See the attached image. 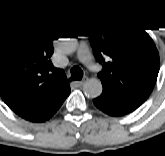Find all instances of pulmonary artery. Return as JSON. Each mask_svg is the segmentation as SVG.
<instances>
[{"instance_id": "obj_1", "label": "pulmonary artery", "mask_w": 165, "mask_h": 156, "mask_svg": "<svg viewBox=\"0 0 165 156\" xmlns=\"http://www.w3.org/2000/svg\"><path fill=\"white\" fill-rule=\"evenodd\" d=\"M78 59L85 65H87L91 69H97L96 65L91 61L90 56L88 55L86 50H81L78 53Z\"/></svg>"}]
</instances>
